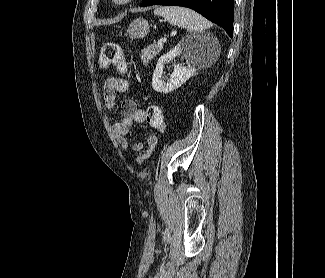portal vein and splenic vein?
Wrapping results in <instances>:
<instances>
[{"label": "portal vein and splenic vein", "mask_w": 325, "mask_h": 278, "mask_svg": "<svg viewBox=\"0 0 325 278\" xmlns=\"http://www.w3.org/2000/svg\"><path fill=\"white\" fill-rule=\"evenodd\" d=\"M167 41L166 37H162L158 40L157 45H163V43H165Z\"/></svg>", "instance_id": "18ae733b"}]
</instances>
